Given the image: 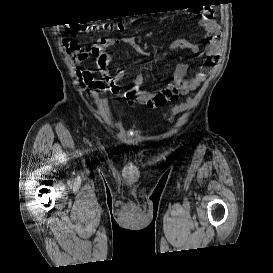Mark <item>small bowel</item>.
Here are the masks:
<instances>
[{"mask_svg":"<svg viewBox=\"0 0 273 273\" xmlns=\"http://www.w3.org/2000/svg\"><path fill=\"white\" fill-rule=\"evenodd\" d=\"M199 24L207 34V44L204 47L207 58L202 63L199 71L194 76L187 78L188 65L184 62L178 63L175 67L173 80L160 91L142 89L141 86L146 82V75L139 74L134 79V85L126 89L121 95V99L127 105L141 104L149 109H160L167 103L175 101L180 95H186L195 90L213 72L220 55V26L213 19L211 13L207 11L201 14ZM121 42L133 52L143 54L134 37H124L122 39L101 38L92 45L90 50L91 55L96 58L100 74L109 85L110 92L116 96L120 95L119 82L125 77V72L123 70H119L114 74L109 72L108 64L112 56L107 48ZM176 50H189L194 54L202 53L198 44L186 39H176L168 44L163 54L167 55L169 52Z\"/></svg>","mask_w":273,"mask_h":273,"instance_id":"1","label":"small bowel"}]
</instances>
